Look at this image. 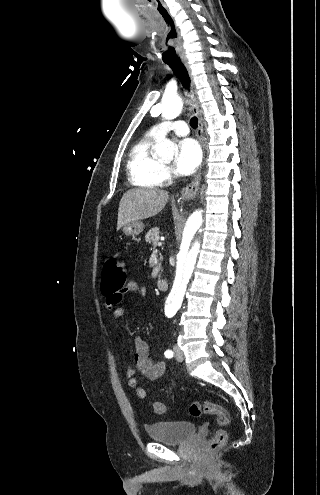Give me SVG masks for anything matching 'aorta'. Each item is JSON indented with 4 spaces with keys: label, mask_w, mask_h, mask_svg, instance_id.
<instances>
[{
    "label": "aorta",
    "mask_w": 320,
    "mask_h": 495,
    "mask_svg": "<svg viewBox=\"0 0 320 495\" xmlns=\"http://www.w3.org/2000/svg\"><path fill=\"white\" fill-rule=\"evenodd\" d=\"M183 108L179 96L171 95L163 98L160 104L151 109L155 116L161 114L165 120L177 118ZM176 146L169 139H163L155 146L159 156L172 158ZM211 207L195 210L178 231V252L176 256V275L171 293L166 301L165 312L173 316L181 307L187 284L200 254L203 238L209 227Z\"/></svg>",
    "instance_id": "1"
}]
</instances>
